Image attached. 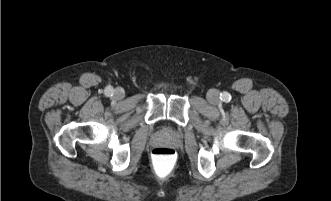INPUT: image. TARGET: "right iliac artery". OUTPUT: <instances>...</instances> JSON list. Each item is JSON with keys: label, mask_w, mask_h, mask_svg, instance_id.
I'll return each mask as SVG.
<instances>
[{"label": "right iliac artery", "mask_w": 331, "mask_h": 201, "mask_svg": "<svg viewBox=\"0 0 331 201\" xmlns=\"http://www.w3.org/2000/svg\"><path fill=\"white\" fill-rule=\"evenodd\" d=\"M113 93H114L113 88H111V87L106 88V90H105V95L106 96H112Z\"/></svg>", "instance_id": "82829eb1"}]
</instances>
